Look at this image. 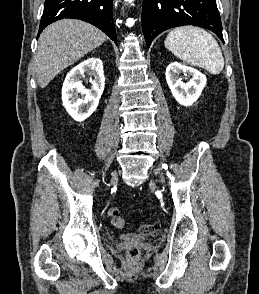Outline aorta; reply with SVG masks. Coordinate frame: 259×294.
I'll list each match as a JSON object with an SVG mask.
<instances>
[{"label": "aorta", "instance_id": "762f6f07", "mask_svg": "<svg viewBox=\"0 0 259 294\" xmlns=\"http://www.w3.org/2000/svg\"><path fill=\"white\" fill-rule=\"evenodd\" d=\"M127 2H129V3H132L134 0H126Z\"/></svg>", "mask_w": 259, "mask_h": 294}]
</instances>
